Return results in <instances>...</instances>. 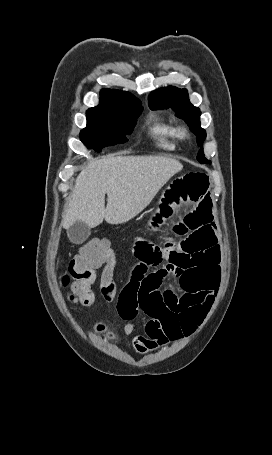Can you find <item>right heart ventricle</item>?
<instances>
[{
    "mask_svg": "<svg viewBox=\"0 0 272 455\" xmlns=\"http://www.w3.org/2000/svg\"><path fill=\"white\" fill-rule=\"evenodd\" d=\"M147 131L158 148L165 151H172L176 148L177 127L164 117L151 114L147 119Z\"/></svg>",
    "mask_w": 272,
    "mask_h": 455,
    "instance_id": "e07e8e85",
    "label": "right heart ventricle"
}]
</instances>
